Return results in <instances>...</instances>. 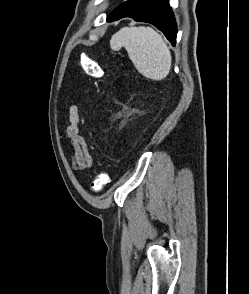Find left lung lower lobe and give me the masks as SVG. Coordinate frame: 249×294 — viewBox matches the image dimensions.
<instances>
[{"label":"left lung lower lobe","mask_w":249,"mask_h":294,"mask_svg":"<svg viewBox=\"0 0 249 294\" xmlns=\"http://www.w3.org/2000/svg\"><path fill=\"white\" fill-rule=\"evenodd\" d=\"M132 17L136 21L148 22L161 30L175 46L177 27L168 0H127L116 7L107 21Z\"/></svg>","instance_id":"1"}]
</instances>
